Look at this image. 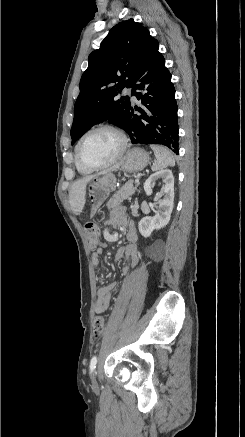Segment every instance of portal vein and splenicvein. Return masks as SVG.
Returning <instances> with one entry per match:
<instances>
[{"label": "portal vein and splenic vein", "mask_w": 245, "mask_h": 437, "mask_svg": "<svg viewBox=\"0 0 245 437\" xmlns=\"http://www.w3.org/2000/svg\"><path fill=\"white\" fill-rule=\"evenodd\" d=\"M135 182H136V183H139V177H136Z\"/></svg>", "instance_id": "1"}]
</instances>
